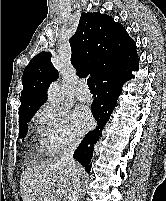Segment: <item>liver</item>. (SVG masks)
Returning a JSON list of instances; mask_svg holds the SVG:
<instances>
[{"mask_svg":"<svg viewBox=\"0 0 166 201\" xmlns=\"http://www.w3.org/2000/svg\"><path fill=\"white\" fill-rule=\"evenodd\" d=\"M81 173L82 168L77 164ZM73 169L61 159L27 166L22 172V201H67L73 186Z\"/></svg>","mask_w":166,"mask_h":201,"instance_id":"6515ba94","label":"liver"}]
</instances>
